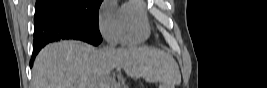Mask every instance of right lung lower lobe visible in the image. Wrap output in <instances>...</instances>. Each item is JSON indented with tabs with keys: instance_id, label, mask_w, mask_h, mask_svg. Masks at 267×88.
<instances>
[{
	"instance_id": "98d812e1",
	"label": "right lung lower lobe",
	"mask_w": 267,
	"mask_h": 88,
	"mask_svg": "<svg viewBox=\"0 0 267 88\" xmlns=\"http://www.w3.org/2000/svg\"><path fill=\"white\" fill-rule=\"evenodd\" d=\"M33 55L42 47L58 39H77L98 45L102 38L98 29L89 28L55 8L36 6ZM32 67V62L30 63Z\"/></svg>"
}]
</instances>
